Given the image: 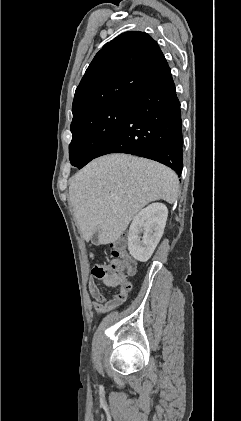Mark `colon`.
Wrapping results in <instances>:
<instances>
[{"label": "colon", "instance_id": "5ec220e1", "mask_svg": "<svg viewBox=\"0 0 241 421\" xmlns=\"http://www.w3.org/2000/svg\"><path fill=\"white\" fill-rule=\"evenodd\" d=\"M111 255L106 261L93 270L98 280L114 286H125L129 283L127 277L134 272V265L124 251V244L118 241L113 244Z\"/></svg>", "mask_w": 241, "mask_h": 421}]
</instances>
